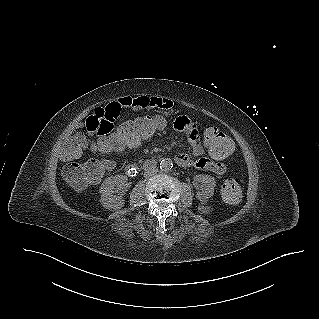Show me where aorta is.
Segmentation results:
<instances>
[{
	"label": "aorta",
	"instance_id": "obj_1",
	"mask_svg": "<svg viewBox=\"0 0 319 319\" xmlns=\"http://www.w3.org/2000/svg\"><path fill=\"white\" fill-rule=\"evenodd\" d=\"M173 168V163L171 159L165 158L160 162V169L163 172H170Z\"/></svg>",
	"mask_w": 319,
	"mask_h": 319
}]
</instances>
